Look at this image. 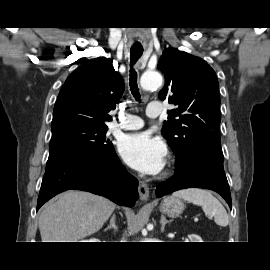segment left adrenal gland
Returning <instances> with one entry per match:
<instances>
[{
    "label": "left adrenal gland",
    "instance_id": "left-adrenal-gland-1",
    "mask_svg": "<svg viewBox=\"0 0 270 270\" xmlns=\"http://www.w3.org/2000/svg\"><path fill=\"white\" fill-rule=\"evenodd\" d=\"M171 221H168L164 215H161L160 223H161V232L164 231L165 225L167 223H170Z\"/></svg>",
    "mask_w": 270,
    "mask_h": 270
}]
</instances>
